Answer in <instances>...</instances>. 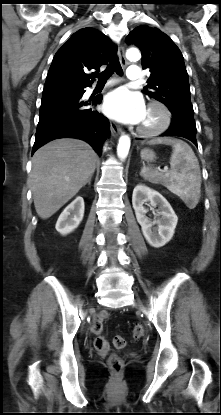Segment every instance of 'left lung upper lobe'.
<instances>
[{"label": "left lung upper lobe", "mask_w": 221, "mask_h": 415, "mask_svg": "<svg viewBox=\"0 0 221 415\" xmlns=\"http://www.w3.org/2000/svg\"><path fill=\"white\" fill-rule=\"evenodd\" d=\"M126 42L139 47L142 68L151 72L143 92L165 104L171 112L193 110L184 58L171 38L155 27L138 26L129 33Z\"/></svg>", "instance_id": "5c2ea615"}]
</instances>
